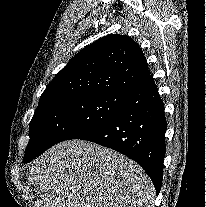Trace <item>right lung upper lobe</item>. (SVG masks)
Masks as SVG:
<instances>
[{"mask_svg":"<svg viewBox=\"0 0 206 207\" xmlns=\"http://www.w3.org/2000/svg\"><path fill=\"white\" fill-rule=\"evenodd\" d=\"M148 76L138 44L125 35H107L71 59L46 87L39 104L70 96L126 94Z\"/></svg>","mask_w":206,"mask_h":207,"instance_id":"1","label":"right lung upper lobe"}]
</instances>
